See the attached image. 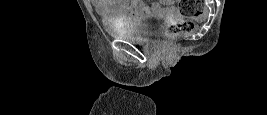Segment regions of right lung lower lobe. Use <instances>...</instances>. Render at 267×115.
Segmentation results:
<instances>
[{"label": "right lung lower lobe", "mask_w": 267, "mask_h": 115, "mask_svg": "<svg viewBox=\"0 0 267 115\" xmlns=\"http://www.w3.org/2000/svg\"><path fill=\"white\" fill-rule=\"evenodd\" d=\"M144 90L145 91H153L154 89H152V88H145Z\"/></svg>", "instance_id": "1"}]
</instances>
